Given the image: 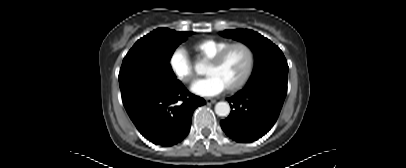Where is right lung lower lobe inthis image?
Returning <instances> with one entry per match:
<instances>
[{"instance_id":"1","label":"right lung lower lobe","mask_w":406,"mask_h":168,"mask_svg":"<svg viewBox=\"0 0 406 168\" xmlns=\"http://www.w3.org/2000/svg\"><path fill=\"white\" fill-rule=\"evenodd\" d=\"M205 100L177 81L170 87L138 99L125 107L139 132L149 141L162 146L177 144L191 126L192 114Z\"/></svg>"}]
</instances>
